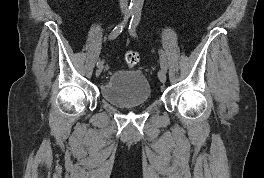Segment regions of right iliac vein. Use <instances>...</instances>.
<instances>
[{
    "label": "right iliac vein",
    "mask_w": 264,
    "mask_h": 178,
    "mask_svg": "<svg viewBox=\"0 0 264 178\" xmlns=\"http://www.w3.org/2000/svg\"><path fill=\"white\" fill-rule=\"evenodd\" d=\"M102 70H103V66H99L98 69L96 70V73H95L96 76H99L101 74Z\"/></svg>",
    "instance_id": "63e3f726"
}]
</instances>
